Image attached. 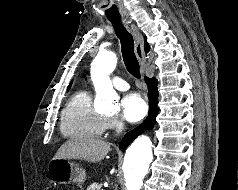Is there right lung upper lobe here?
Wrapping results in <instances>:
<instances>
[{
    "mask_svg": "<svg viewBox=\"0 0 238 190\" xmlns=\"http://www.w3.org/2000/svg\"><path fill=\"white\" fill-rule=\"evenodd\" d=\"M144 49H145V52H148L149 49H150V46L148 44V42L145 40V43H144ZM71 87V84L68 86V89H70Z\"/></svg>",
    "mask_w": 238,
    "mask_h": 190,
    "instance_id": "right-lung-upper-lobe-1",
    "label": "right lung upper lobe"
}]
</instances>
